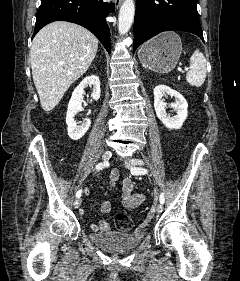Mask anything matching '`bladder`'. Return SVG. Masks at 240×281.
I'll return each instance as SVG.
<instances>
[{
  "mask_svg": "<svg viewBox=\"0 0 240 281\" xmlns=\"http://www.w3.org/2000/svg\"><path fill=\"white\" fill-rule=\"evenodd\" d=\"M144 233L139 231H103L90 234V240L98 247L110 252H123L134 249L143 240Z\"/></svg>",
  "mask_w": 240,
  "mask_h": 281,
  "instance_id": "1",
  "label": "bladder"
}]
</instances>
